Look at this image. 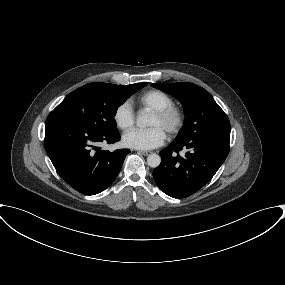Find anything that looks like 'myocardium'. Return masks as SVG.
Returning <instances> with one entry per match:
<instances>
[{
    "mask_svg": "<svg viewBox=\"0 0 285 285\" xmlns=\"http://www.w3.org/2000/svg\"><path fill=\"white\" fill-rule=\"evenodd\" d=\"M159 119L169 122L166 133L169 137L178 135L185 125L186 115L185 111L174 104L165 108L153 111Z\"/></svg>",
    "mask_w": 285,
    "mask_h": 285,
    "instance_id": "f54148a6",
    "label": "myocardium"
}]
</instances>
